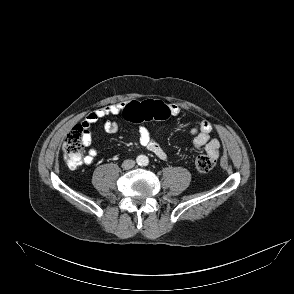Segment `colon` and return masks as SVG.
I'll use <instances>...</instances> for the list:
<instances>
[{"label":"colon","instance_id":"1","mask_svg":"<svg viewBox=\"0 0 294 294\" xmlns=\"http://www.w3.org/2000/svg\"><path fill=\"white\" fill-rule=\"evenodd\" d=\"M122 114L126 120L134 123L166 120L171 117L169 106L158 100L132 101L126 104ZM63 152L69 167L76 168L83 163L84 129L81 125L75 126L67 134L63 143ZM195 164L199 172L208 173L214 168L216 158L208 154H202L196 158Z\"/></svg>","mask_w":294,"mask_h":294}]
</instances>
